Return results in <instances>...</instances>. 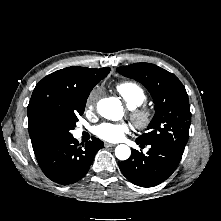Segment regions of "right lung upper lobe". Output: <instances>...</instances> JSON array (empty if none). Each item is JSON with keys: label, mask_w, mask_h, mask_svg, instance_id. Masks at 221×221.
<instances>
[{"label": "right lung upper lobe", "mask_w": 221, "mask_h": 221, "mask_svg": "<svg viewBox=\"0 0 221 221\" xmlns=\"http://www.w3.org/2000/svg\"><path fill=\"white\" fill-rule=\"evenodd\" d=\"M109 71L108 67H68L47 75L36 85L28 105V129L36 157L59 140L55 127L66 110L88 97Z\"/></svg>", "instance_id": "obj_1"}]
</instances>
